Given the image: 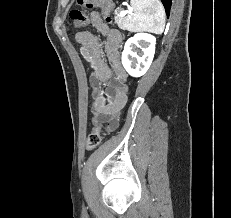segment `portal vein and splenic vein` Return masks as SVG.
I'll list each match as a JSON object with an SVG mask.
<instances>
[{
	"mask_svg": "<svg viewBox=\"0 0 231 218\" xmlns=\"http://www.w3.org/2000/svg\"><path fill=\"white\" fill-rule=\"evenodd\" d=\"M132 9H128V10H121L120 13H119V16L120 17H123L125 16L127 13L131 12Z\"/></svg>",
	"mask_w": 231,
	"mask_h": 218,
	"instance_id": "1",
	"label": "portal vein and splenic vein"
}]
</instances>
